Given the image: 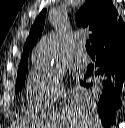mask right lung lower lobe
Returning <instances> with one entry per match:
<instances>
[{"mask_svg": "<svg viewBox=\"0 0 125 128\" xmlns=\"http://www.w3.org/2000/svg\"><path fill=\"white\" fill-rule=\"evenodd\" d=\"M92 46L97 60L88 66L87 75L94 76L96 85L101 88L97 112L102 124L110 127L115 122V111L121 107L120 94L125 83V23L116 26ZM84 86L89 88L92 83Z\"/></svg>", "mask_w": 125, "mask_h": 128, "instance_id": "right-lung-lower-lobe-1", "label": "right lung lower lobe"}]
</instances>
